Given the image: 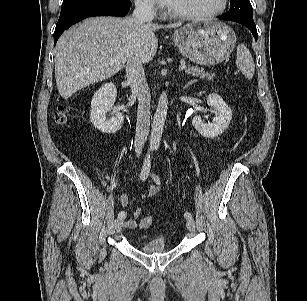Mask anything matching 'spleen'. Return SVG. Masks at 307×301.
<instances>
[{"instance_id": "1", "label": "spleen", "mask_w": 307, "mask_h": 301, "mask_svg": "<svg viewBox=\"0 0 307 301\" xmlns=\"http://www.w3.org/2000/svg\"><path fill=\"white\" fill-rule=\"evenodd\" d=\"M236 65L247 79H252L255 65L249 49L244 44L237 47Z\"/></svg>"}]
</instances>
